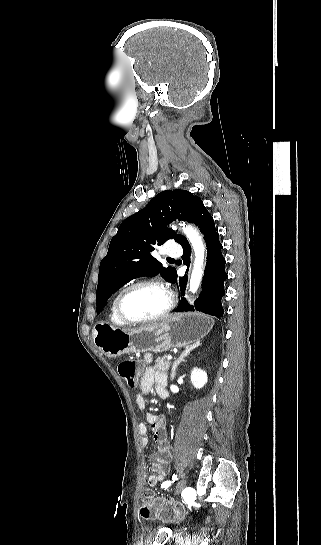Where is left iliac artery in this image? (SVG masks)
Segmentation results:
<instances>
[{"instance_id":"44dca946","label":"left iliac artery","mask_w":321,"mask_h":545,"mask_svg":"<svg viewBox=\"0 0 321 545\" xmlns=\"http://www.w3.org/2000/svg\"><path fill=\"white\" fill-rule=\"evenodd\" d=\"M176 479H177V476L174 474V475L172 476L173 482H174ZM170 485H171V481H165V482L161 485V487H162L163 489H167Z\"/></svg>"}]
</instances>
